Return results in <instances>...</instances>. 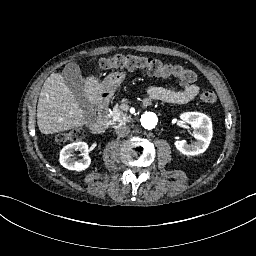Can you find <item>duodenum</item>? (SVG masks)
<instances>
[{"label": "duodenum", "instance_id": "410a0bca", "mask_svg": "<svg viewBox=\"0 0 256 256\" xmlns=\"http://www.w3.org/2000/svg\"><path fill=\"white\" fill-rule=\"evenodd\" d=\"M128 75L124 71L118 73H112L106 75L103 78L102 91L98 94L97 108L99 109L97 121L93 124L92 130L97 135L105 134L109 125V113L111 95L115 92V89L119 87L122 82L126 81ZM141 102L145 106L152 104L153 99L149 95L142 97Z\"/></svg>", "mask_w": 256, "mask_h": 256}]
</instances>
